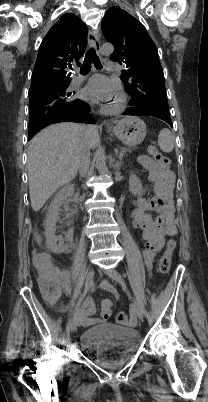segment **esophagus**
Returning a JSON list of instances; mask_svg holds the SVG:
<instances>
[{"mask_svg":"<svg viewBox=\"0 0 208 402\" xmlns=\"http://www.w3.org/2000/svg\"><path fill=\"white\" fill-rule=\"evenodd\" d=\"M88 44L95 47L97 52L100 53L101 50L100 40L98 38V35L91 30L88 32Z\"/></svg>","mask_w":208,"mask_h":402,"instance_id":"esophagus-1","label":"esophagus"}]
</instances>
